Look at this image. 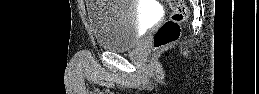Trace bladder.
I'll return each instance as SVG.
<instances>
[{
    "label": "bladder",
    "mask_w": 259,
    "mask_h": 94,
    "mask_svg": "<svg viewBox=\"0 0 259 94\" xmlns=\"http://www.w3.org/2000/svg\"><path fill=\"white\" fill-rule=\"evenodd\" d=\"M87 16L97 46L110 52L134 48L145 23L135 0L88 1Z\"/></svg>",
    "instance_id": "1"
}]
</instances>
